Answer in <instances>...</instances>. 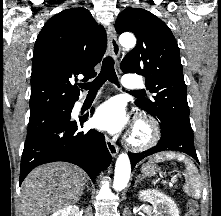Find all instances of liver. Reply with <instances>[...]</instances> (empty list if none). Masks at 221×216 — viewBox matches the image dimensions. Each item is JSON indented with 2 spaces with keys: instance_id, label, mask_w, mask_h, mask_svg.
<instances>
[{
  "instance_id": "6515ba94",
  "label": "liver",
  "mask_w": 221,
  "mask_h": 216,
  "mask_svg": "<svg viewBox=\"0 0 221 216\" xmlns=\"http://www.w3.org/2000/svg\"><path fill=\"white\" fill-rule=\"evenodd\" d=\"M85 187L83 171L69 163L53 162L32 170L22 183L23 216H48L76 204Z\"/></svg>"
}]
</instances>
